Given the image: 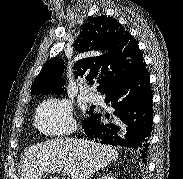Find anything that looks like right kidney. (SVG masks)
Instances as JSON below:
<instances>
[{
	"mask_svg": "<svg viewBox=\"0 0 183 179\" xmlns=\"http://www.w3.org/2000/svg\"><path fill=\"white\" fill-rule=\"evenodd\" d=\"M99 179H114V178L111 177V176L105 175V176H102V177L99 178Z\"/></svg>",
	"mask_w": 183,
	"mask_h": 179,
	"instance_id": "1",
	"label": "right kidney"
}]
</instances>
